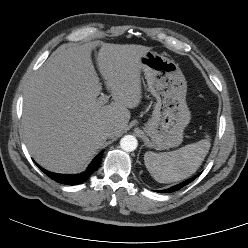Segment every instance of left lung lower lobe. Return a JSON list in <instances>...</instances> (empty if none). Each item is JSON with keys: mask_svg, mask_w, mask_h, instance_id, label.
Here are the masks:
<instances>
[{"mask_svg": "<svg viewBox=\"0 0 248 248\" xmlns=\"http://www.w3.org/2000/svg\"><path fill=\"white\" fill-rule=\"evenodd\" d=\"M196 177L197 176H194V177H192V178H190V179H188V180H186V181H184V182H182L180 184H177L175 186H172V187H170V188H168L166 190H161L159 192H161V193H171V192L178 191L179 189L183 188L187 184L191 183Z\"/></svg>", "mask_w": 248, "mask_h": 248, "instance_id": "left-lung-lower-lobe-1", "label": "left lung lower lobe"}]
</instances>
